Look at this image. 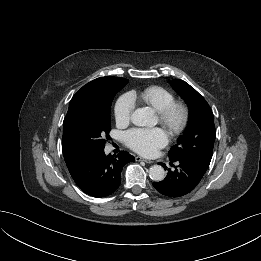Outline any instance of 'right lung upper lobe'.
<instances>
[{
	"label": "right lung upper lobe",
	"instance_id": "right-lung-upper-lobe-1",
	"mask_svg": "<svg viewBox=\"0 0 261 261\" xmlns=\"http://www.w3.org/2000/svg\"><path fill=\"white\" fill-rule=\"evenodd\" d=\"M120 77H100L84 85L71 99L68 111L72 110L83 98L96 94L107 93L118 81ZM68 113V112H67ZM66 164L74 160L64 158Z\"/></svg>",
	"mask_w": 261,
	"mask_h": 261
}]
</instances>
